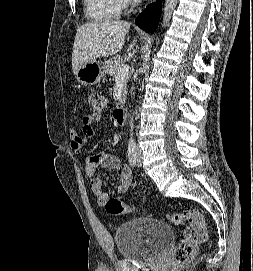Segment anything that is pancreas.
<instances>
[{
	"instance_id": "1",
	"label": "pancreas",
	"mask_w": 253,
	"mask_h": 271,
	"mask_svg": "<svg viewBox=\"0 0 253 271\" xmlns=\"http://www.w3.org/2000/svg\"><path fill=\"white\" fill-rule=\"evenodd\" d=\"M123 65H124V63H123L122 58L120 56H115V57H112V58L105 61L104 69L108 75H110L111 77L116 79L117 69ZM128 79H129V75H126L122 80L123 89H122V94H121V98H120V103H123L125 101L126 93H127Z\"/></svg>"
}]
</instances>
